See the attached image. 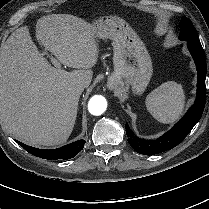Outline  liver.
Instances as JSON below:
<instances>
[{
    "mask_svg": "<svg viewBox=\"0 0 209 209\" xmlns=\"http://www.w3.org/2000/svg\"><path fill=\"white\" fill-rule=\"evenodd\" d=\"M38 42L63 65L52 67L39 52L27 26L16 29L0 51V120L18 140L33 146H54L72 133L80 94L90 85L98 58L94 27L69 14L38 19Z\"/></svg>",
    "mask_w": 209,
    "mask_h": 209,
    "instance_id": "6515ba94",
    "label": "liver"
}]
</instances>
